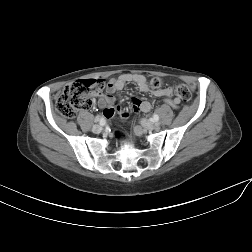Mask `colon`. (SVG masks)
I'll return each instance as SVG.
<instances>
[{
    "label": "colon",
    "instance_id": "obj_1",
    "mask_svg": "<svg viewBox=\"0 0 252 252\" xmlns=\"http://www.w3.org/2000/svg\"><path fill=\"white\" fill-rule=\"evenodd\" d=\"M162 84L163 82L159 77H152L148 81V85L153 89L161 88ZM103 87L104 83L97 79L76 81L63 90L57 100L56 108L62 116L73 118L79 110L91 104V97L99 95ZM175 93L183 101L188 102L191 99V91L186 85H177ZM127 114L124 111L122 117H126ZM117 135L121 136V133L117 132Z\"/></svg>",
    "mask_w": 252,
    "mask_h": 252
}]
</instances>
